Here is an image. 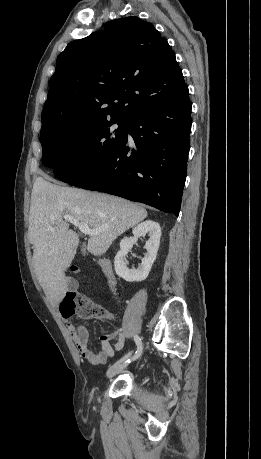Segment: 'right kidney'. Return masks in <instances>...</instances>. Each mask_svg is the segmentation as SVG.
Instances as JSON below:
<instances>
[{
  "label": "right kidney",
  "mask_w": 261,
  "mask_h": 459,
  "mask_svg": "<svg viewBox=\"0 0 261 459\" xmlns=\"http://www.w3.org/2000/svg\"><path fill=\"white\" fill-rule=\"evenodd\" d=\"M132 233L134 235L133 237H126L121 240L120 251L114 258V268L116 274L125 281L138 282L143 281L148 277L151 267L156 259L160 244L161 228L157 222L147 220L133 228ZM146 234H148L150 238L145 245L147 252L142 259V263L137 269L134 267L130 269L128 268L126 256L133 245L137 242L138 238L145 236Z\"/></svg>",
  "instance_id": "right-kidney-1"
}]
</instances>
